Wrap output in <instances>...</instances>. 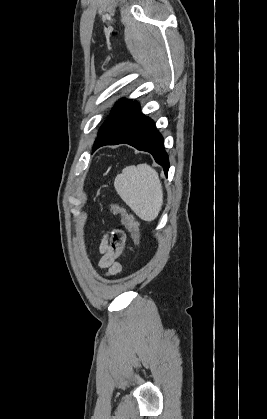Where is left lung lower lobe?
Returning <instances> with one entry per match:
<instances>
[{"label": "left lung lower lobe", "instance_id": "0a47b994", "mask_svg": "<svg viewBox=\"0 0 267 419\" xmlns=\"http://www.w3.org/2000/svg\"><path fill=\"white\" fill-rule=\"evenodd\" d=\"M129 144L138 150L152 154L167 175L168 155L164 150V140L154 122L144 116L137 102L115 114L112 126L95 141L93 151L104 145Z\"/></svg>", "mask_w": 267, "mask_h": 419}]
</instances>
